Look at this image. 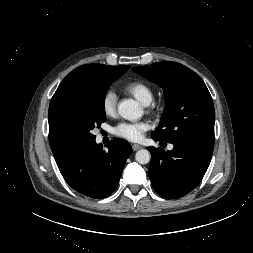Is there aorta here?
Returning <instances> with one entry per match:
<instances>
[{"label": "aorta", "instance_id": "aorta-1", "mask_svg": "<svg viewBox=\"0 0 253 253\" xmlns=\"http://www.w3.org/2000/svg\"><path fill=\"white\" fill-rule=\"evenodd\" d=\"M119 115L129 121H136L141 118L143 111L134 100H124L118 105ZM150 152L147 149H141L136 152L135 160L140 164H147L150 161Z\"/></svg>", "mask_w": 253, "mask_h": 253}]
</instances>
